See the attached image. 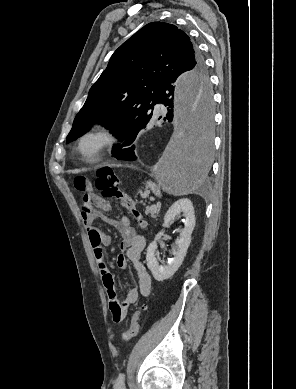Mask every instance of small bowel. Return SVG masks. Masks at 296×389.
I'll return each mask as SVG.
<instances>
[{
    "instance_id": "small-bowel-1",
    "label": "small bowel",
    "mask_w": 296,
    "mask_h": 389,
    "mask_svg": "<svg viewBox=\"0 0 296 389\" xmlns=\"http://www.w3.org/2000/svg\"><path fill=\"white\" fill-rule=\"evenodd\" d=\"M110 210L111 203L104 198L91 192L83 195L81 219L87 230L103 285L109 298V308L112 316L116 311H119L122 318H124L129 307L136 304L140 297L149 296L152 279L141 261V255L146 244L145 239L136 233L128 217L123 216L120 220H109L117 228L122 237L119 245L122 253L117 257V265L124 269L127 267L128 262L132 263L138 279L137 286L130 288L123 300L118 298L114 276L108 268L104 256V247L110 245L111 237L100 231L94 225L95 219L98 216Z\"/></svg>"
}]
</instances>
